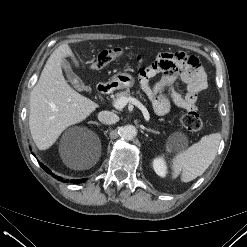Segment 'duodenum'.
<instances>
[{
	"instance_id": "410a0bca",
	"label": "duodenum",
	"mask_w": 247,
	"mask_h": 247,
	"mask_svg": "<svg viewBox=\"0 0 247 247\" xmlns=\"http://www.w3.org/2000/svg\"><path fill=\"white\" fill-rule=\"evenodd\" d=\"M97 90L102 94H107L112 90L111 84H100L97 86Z\"/></svg>"
}]
</instances>
